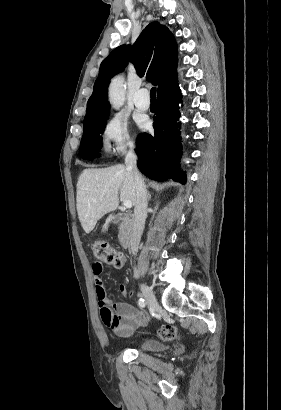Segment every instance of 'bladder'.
Listing matches in <instances>:
<instances>
[{
	"mask_svg": "<svg viewBox=\"0 0 281 410\" xmlns=\"http://www.w3.org/2000/svg\"><path fill=\"white\" fill-rule=\"evenodd\" d=\"M140 348L145 351L156 352V351H162L164 349V345L160 343L159 341H156L153 339H144L140 343Z\"/></svg>",
	"mask_w": 281,
	"mask_h": 410,
	"instance_id": "bladder-1",
	"label": "bladder"
}]
</instances>
